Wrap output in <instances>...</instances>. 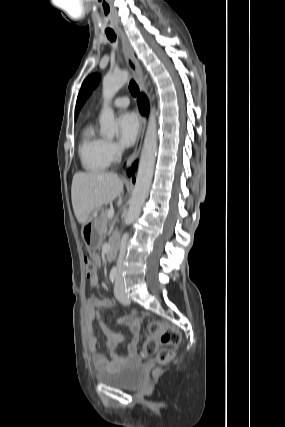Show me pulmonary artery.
<instances>
[{"instance_id": "obj_1", "label": "pulmonary artery", "mask_w": 285, "mask_h": 427, "mask_svg": "<svg viewBox=\"0 0 285 427\" xmlns=\"http://www.w3.org/2000/svg\"><path fill=\"white\" fill-rule=\"evenodd\" d=\"M112 104L114 107L125 108L129 105V98L126 96L117 97Z\"/></svg>"}]
</instances>
